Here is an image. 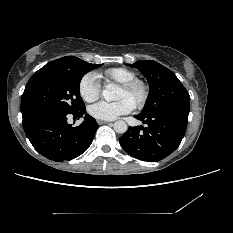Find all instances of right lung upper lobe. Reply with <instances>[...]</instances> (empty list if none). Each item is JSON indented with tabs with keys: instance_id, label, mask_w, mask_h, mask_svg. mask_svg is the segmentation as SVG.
<instances>
[{
	"instance_id": "1",
	"label": "right lung upper lobe",
	"mask_w": 233,
	"mask_h": 233,
	"mask_svg": "<svg viewBox=\"0 0 233 233\" xmlns=\"http://www.w3.org/2000/svg\"><path fill=\"white\" fill-rule=\"evenodd\" d=\"M69 57H70V56L62 57V58H60V59H57V60L52 61V63H57V62H61V61L67 60Z\"/></svg>"
}]
</instances>
